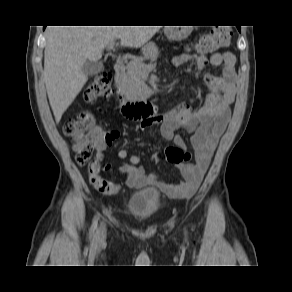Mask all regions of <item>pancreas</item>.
Masks as SVG:
<instances>
[{"label": "pancreas", "mask_w": 292, "mask_h": 292, "mask_svg": "<svg viewBox=\"0 0 292 292\" xmlns=\"http://www.w3.org/2000/svg\"><path fill=\"white\" fill-rule=\"evenodd\" d=\"M142 54L143 57L130 61L125 67V70L120 74L118 84L127 99H137L140 96L141 90L145 86L143 79L144 61L150 60L151 62H155L158 58L159 51L155 43L150 42L142 48Z\"/></svg>", "instance_id": "cf45deb5"}]
</instances>
